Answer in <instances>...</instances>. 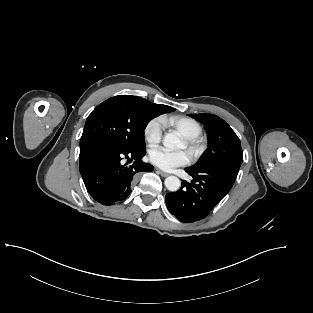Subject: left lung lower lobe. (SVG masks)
<instances>
[{
	"label": "left lung lower lobe",
	"mask_w": 313,
	"mask_h": 313,
	"mask_svg": "<svg viewBox=\"0 0 313 313\" xmlns=\"http://www.w3.org/2000/svg\"><path fill=\"white\" fill-rule=\"evenodd\" d=\"M239 168L232 165L186 168L193 180L191 183L183 181L177 192L166 194L167 208L182 222L192 223L205 218L230 191Z\"/></svg>",
	"instance_id": "0a47b994"
}]
</instances>
